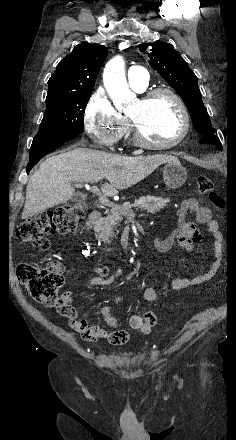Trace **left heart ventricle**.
Instances as JSON below:
<instances>
[{
    "label": "left heart ventricle",
    "mask_w": 236,
    "mask_h": 440,
    "mask_svg": "<svg viewBox=\"0 0 236 440\" xmlns=\"http://www.w3.org/2000/svg\"><path fill=\"white\" fill-rule=\"evenodd\" d=\"M144 137L156 144H165L177 138L182 130V118L177 105L168 95H159L149 102L138 100L129 112Z\"/></svg>",
    "instance_id": "1"
}]
</instances>
